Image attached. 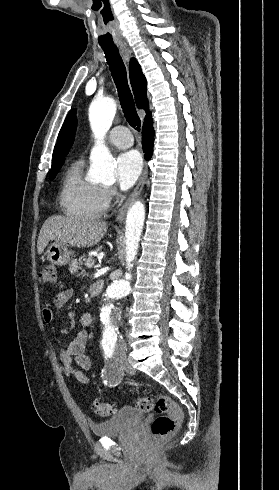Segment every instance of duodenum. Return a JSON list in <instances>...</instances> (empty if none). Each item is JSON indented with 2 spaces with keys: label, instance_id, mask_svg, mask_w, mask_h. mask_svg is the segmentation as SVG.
<instances>
[{
  "label": "duodenum",
  "instance_id": "410a0bca",
  "mask_svg": "<svg viewBox=\"0 0 279 490\" xmlns=\"http://www.w3.org/2000/svg\"><path fill=\"white\" fill-rule=\"evenodd\" d=\"M103 287V281L102 280H97L95 281L91 286H90V295L91 296H96L100 293L101 289Z\"/></svg>",
  "mask_w": 279,
  "mask_h": 490
}]
</instances>
